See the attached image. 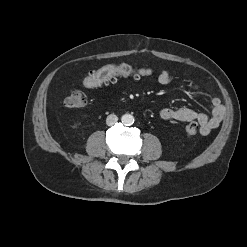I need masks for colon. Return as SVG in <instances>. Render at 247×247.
I'll use <instances>...</instances> for the list:
<instances>
[{"instance_id":"colon-1","label":"colon","mask_w":247,"mask_h":247,"mask_svg":"<svg viewBox=\"0 0 247 247\" xmlns=\"http://www.w3.org/2000/svg\"><path fill=\"white\" fill-rule=\"evenodd\" d=\"M151 70L145 68H134L128 64L107 65L89 73L83 80L82 86L85 89L99 87L113 81L116 77H144L151 75ZM86 102L85 95L78 89H72L64 100V104L69 108L82 107ZM199 130L196 123H191L185 127L188 135H195Z\"/></svg>"}]
</instances>
